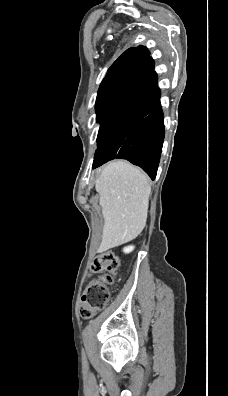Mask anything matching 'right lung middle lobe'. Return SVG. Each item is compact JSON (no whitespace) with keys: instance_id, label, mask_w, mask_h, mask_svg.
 I'll return each instance as SVG.
<instances>
[{"instance_id":"obj_1","label":"right lung middle lobe","mask_w":228,"mask_h":396,"mask_svg":"<svg viewBox=\"0 0 228 396\" xmlns=\"http://www.w3.org/2000/svg\"><path fill=\"white\" fill-rule=\"evenodd\" d=\"M146 75L147 72L142 70L101 83L95 105L96 121L100 123V128L94 158L116 120L131 103Z\"/></svg>"}]
</instances>
